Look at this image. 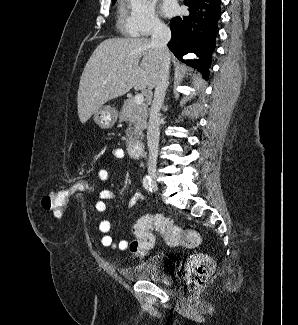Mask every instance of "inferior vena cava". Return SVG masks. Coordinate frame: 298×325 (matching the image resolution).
Listing matches in <instances>:
<instances>
[{"label":"inferior vena cava","mask_w":298,"mask_h":325,"mask_svg":"<svg viewBox=\"0 0 298 325\" xmlns=\"http://www.w3.org/2000/svg\"><path fill=\"white\" fill-rule=\"evenodd\" d=\"M171 38V30L169 26L163 24L161 20H154L151 46L157 50V58H159L158 82L154 90V98L150 108V116L147 130V144L149 150L147 173L151 179L156 177L157 154L159 146V116L160 108L165 98V90L169 80L170 52L168 50V42Z\"/></svg>","instance_id":"602c4592"}]
</instances>
